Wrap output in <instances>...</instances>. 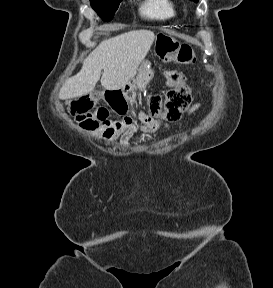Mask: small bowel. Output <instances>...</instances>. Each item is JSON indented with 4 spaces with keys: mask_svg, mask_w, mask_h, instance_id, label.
I'll return each mask as SVG.
<instances>
[{
    "mask_svg": "<svg viewBox=\"0 0 273 288\" xmlns=\"http://www.w3.org/2000/svg\"><path fill=\"white\" fill-rule=\"evenodd\" d=\"M199 108L200 104H194L190 108L189 114L196 112ZM162 125V123L158 122L150 115L144 112H140L138 115L137 123L122 125L118 128L101 126L96 130L104 139L114 140L116 138H120L121 144L123 146H126L132 136L137 132L152 133L155 132L158 128H160ZM164 126L167 127V125Z\"/></svg>",
    "mask_w": 273,
    "mask_h": 288,
    "instance_id": "1",
    "label": "small bowel"
}]
</instances>
